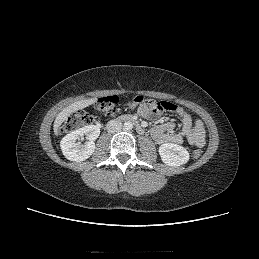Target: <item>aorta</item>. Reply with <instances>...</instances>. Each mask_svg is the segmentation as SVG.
I'll return each instance as SVG.
<instances>
[{
	"label": "aorta",
	"mask_w": 259,
	"mask_h": 259,
	"mask_svg": "<svg viewBox=\"0 0 259 259\" xmlns=\"http://www.w3.org/2000/svg\"><path fill=\"white\" fill-rule=\"evenodd\" d=\"M132 128H133L132 122L126 121V122L124 123V129H125V130L129 131V130H131Z\"/></svg>",
	"instance_id": "762f6f07"
}]
</instances>
